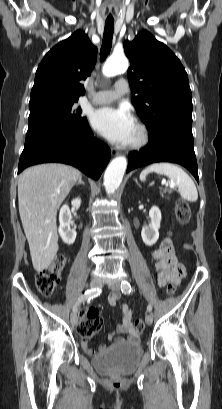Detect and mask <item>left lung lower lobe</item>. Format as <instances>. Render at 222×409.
Masks as SVG:
<instances>
[{
	"label": "left lung lower lobe",
	"mask_w": 222,
	"mask_h": 409,
	"mask_svg": "<svg viewBox=\"0 0 222 409\" xmlns=\"http://www.w3.org/2000/svg\"><path fill=\"white\" fill-rule=\"evenodd\" d=\"M154 162H173L187 168L199 182L192 129L166 124L149 132V143L140 153L129 155L127 172Z\"/></svg>",
	"instance_id": "obj_1"
}]
</instances>
